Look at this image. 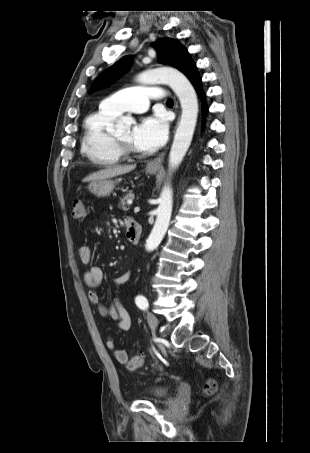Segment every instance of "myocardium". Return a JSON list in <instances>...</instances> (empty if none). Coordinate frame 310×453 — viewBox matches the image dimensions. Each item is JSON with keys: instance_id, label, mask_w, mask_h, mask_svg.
<instances>
[{"instance_id": "1", "label": "myocardium", "mask_w": 310, "mask_h": 453, "mask_svg": "<svg viewBox=\"0 0 310 453\" xmlns=\"http://www.w3.org/2000/svg\"><path fill=\"white\" fill-rule=\"evenodd\" d=\"M112 142L122 157L137 156V150L128 143L121 141L118 137L112 134Z\"/></svg>"}]
</instances>
